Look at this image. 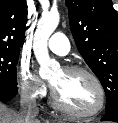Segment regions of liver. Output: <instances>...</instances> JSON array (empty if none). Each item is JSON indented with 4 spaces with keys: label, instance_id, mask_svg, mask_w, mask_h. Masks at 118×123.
Here are the masks:
<instances>
[{
    "label": "liver",
    "instance_id": "1",
    "mask_svg": "<svg viewBox=\"0 0 118 123\" xmlns=\"http://www.w3.org/2000/svg\"><path fill=\"white\" fill-rule=\"evenodd\" d=\"M0 123H24V119L19 113L0 102ZM34 123H40V121L36 120Z\"/></svg>",
    "mask_w": 118,
    "mask_h": 123
}]
</instances>
